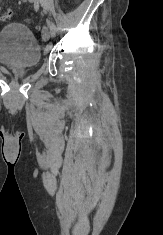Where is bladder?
Masks as SVG:
<instances>
[{
    "mask_svg": "<svg viewBox=\"0 0 163 235\" xmlns=\"http://www.w3.org/2000/svg\"><path fill=\"white\" fill-rule=\"evenodd\" d=\"M41 60V49L34 33L22 23H9L0 29V64L32 68Z\"/></svg>",
    "mask_w": 163,
    "mask_h": 235,
    "instance_id": "31cf9c89",
    "label": "bladder"
}]
</instances>
